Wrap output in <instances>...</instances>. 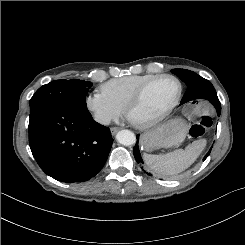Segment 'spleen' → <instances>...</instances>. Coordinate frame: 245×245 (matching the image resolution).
<instances>
[{
	"instance_id": "3e777b00",
	"label": "spleen",
	"mask_w": 245,
	"mask_h": 245,
	"mask_svg": "<svg viewBox=\"0 0 245 245\" xmlns=\"http://www.w3.org/2000/svg\"><path fill=\"white\" fill-rule=\"evenodd\" d=\"M206 141L196 140L184 150L177 149L165 155H143L146 165L155 173L163 177H175L180 172L190 167L200 156Z\"/></svg>"
}]
</instances>
